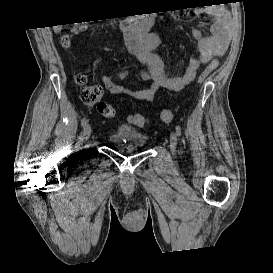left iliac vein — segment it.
Returning <instances> with one entry per match:
<instances>
[{"label":"left iliac vein","mask_w":273,"mask_h":273,"mask_svg":"<svg viewBox=\"0 0 273 273\" xmlns=\"http://www.w3.org/2000/svg\"><path fill=\"white\" fill-rule=\"evenodd\" d=\"M170 146H171V152L173 155L176 153V147H177V136L175 132H171L170 135Z\"/></svg>","instance_id":"1"}]
</instances>
